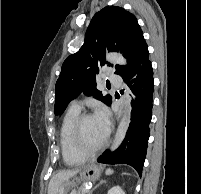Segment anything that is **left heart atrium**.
<instances>
[{
  "mask_svg": "<svg viewBox=\"0 0 201 194\" xmlns=\"http://www.w3.org/2000/svg\"><path fill=\"white\" fill-rule=\"evenodd\" d=\"M93 118L96 121L102 135L104 136V138H106L110 130V117L106 108L103 106H99L96 109Z\"/></svg>",
  "mask_w": 201,
  "mask_h": 194,
  "instance_id": "1",
  "label": "left heart atrium"
}]
</instances>
